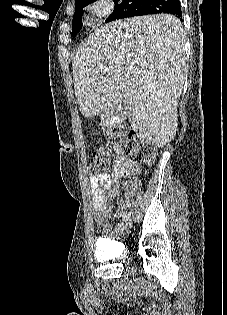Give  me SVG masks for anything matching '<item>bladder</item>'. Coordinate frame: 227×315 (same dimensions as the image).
I'll use <instances>...</instances> for the list:
<instances>
[{
  "mask_svg": "<svg viewBox=\"0 0 227 315\" xmlns=\"http://www.w3.org/2000/svg\"><path fill=\"white\" fill-rule=\"evenodd\" d=\"M114 246L115 243L113 240H111L110 242L105 241V239L97 241L94 248V257L100 261L111 260L113 257V251H110L108 249Z\"/></svg>",
  "mask_w": 227,
  "mask_h": 315,
  "instance_id": "31cf9c89",
  "label": "bladder"
}]
</instances>
